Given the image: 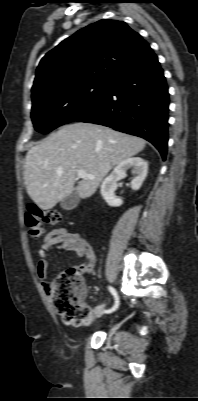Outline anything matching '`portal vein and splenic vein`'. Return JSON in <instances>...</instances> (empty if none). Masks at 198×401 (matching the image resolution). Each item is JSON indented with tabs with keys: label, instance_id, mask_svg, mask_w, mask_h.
<instances>
[{
	"label": "portal vein and splenic vein",
	"instance_id": "1",
	"mask_svg": "<svg viewBox=\"0 0 198 401\" xmlns=\"http://www.w3.org/2000/svg\"><path fill=\"white\" fill-rule=\"evenodd\" d=\"M77 176L79 178H89V179H93L94 178L93 175L87 174L84 170H78L77 171Z\"/></svg>",
	"mask_w": 198,
	"mask_h": 401
}]
</instances>
